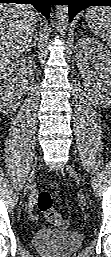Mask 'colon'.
Here are the masks:
<instances>
[{"instance_id":"colon-1","label":"colon","mask_w":111,"mask_h":257,"mask_svg":"<svg viewBox=\"0 0 111 257\" xmlns=\"http://www.w3.org/2000/svg\"><path fill=\"white\" fill-rule=\"evenodd\" d=\"M37 207L49 223L60 229H67L69 222L64 219L53 206L52 195L48 191H40L36 196Z\"/></svg>"}]
</instances>
